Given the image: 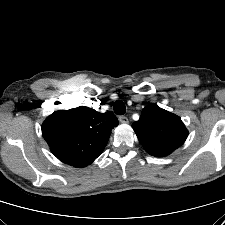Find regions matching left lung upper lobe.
I'll use <instances>...</instances> for the list:
<instances>
[{"mask_svg": "<svg viewBox=\"0 0 225 225\" xmlns=\"http://www.w3.org/2000/svg\"><path fill=\"white\" fill-rule=\"evenodd\" d=\"M132 128L145 150L156 157L169 155L188 136L181 118L156 104L145 107Z\"/></svg>", "mask_w": 225, "mask_h": 225, "instance_id": "5c2ea615", "label": "left lung upper lobe"}]
</instances>
